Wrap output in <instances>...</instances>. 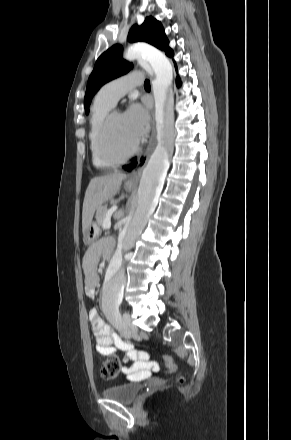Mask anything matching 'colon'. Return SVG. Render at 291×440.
<instances>
[{
    "instance_id": "5ec220e1",
    "label": "colon",
    "mask_w": 291,
    "mask_h": 440,
    "mask_svg": "<svg viewBox=\"0 0 291 440\" xmlns=\"http://www.w3.org/2000/svg\"><path fill=\"white\" fill-rule=\"evenodd\" d=\"M139 354L146 359L149 358V355L145 352H140ZM165 365H166V369L169 372L174 371L175 362L172 358L166 357ZM120 369L121 368H120L119 360L115 356L110 355L100 369V376L103 380L116 379L120 373ZM180 380H183V378H180Z\"/></svg>"
}]
</instances>
